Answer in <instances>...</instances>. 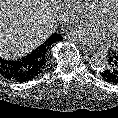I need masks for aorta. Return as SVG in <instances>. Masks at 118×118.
<instances>
[{"label":"aorta","instance_id":"obj_1","mask_svg":"<svg viewBox=\"0 0 118 118\" xmlns=\"http://www.w3.org/2000/svg\"><path fill=\"white\" fill-rule=\"evenodd\" d=\"M90 65L94 70H103L108 65L107 57L101 53H95L90 59Z\"/></svg>","mask_w":118,"mask_h":118}]
</instances>
